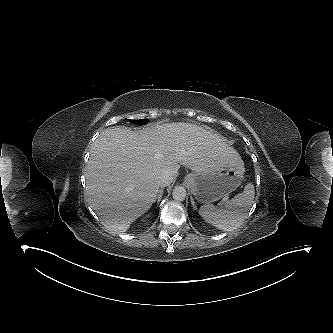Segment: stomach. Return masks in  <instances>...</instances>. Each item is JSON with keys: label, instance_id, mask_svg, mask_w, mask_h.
I'll return each instance as SVG.
<instances>
[{"label": "stomach", "instance_id": "1", "mask_svg": "<svg viewBox=\"0 0 333 333\" xmlns=\"http://www.w3.org/2000/svg\"><path fill=\"white\" fill-rule=\"evenodd\" d=\"M244 171L243 162L238 159L219 168L189 173L185 181L198 202L212 203L236 190L241 184Z\"/></svg>", "mask_w": 333, "mask_h": 333}]
</instances>
